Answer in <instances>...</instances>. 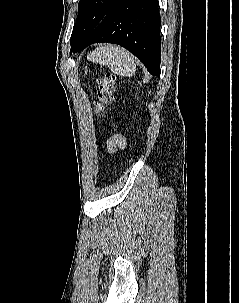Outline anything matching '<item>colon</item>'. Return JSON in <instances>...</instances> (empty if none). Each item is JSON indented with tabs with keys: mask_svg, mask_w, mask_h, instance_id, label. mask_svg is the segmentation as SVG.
<instances>
[{
	"mask_svg": "<svg viewBox=\"0 0 239 303\" xmlns=\"http://www.w3.org/2000/svg\"><path fill=\"white\" fill-rule=\"evenodd\" d=\"M116 77L112 73H105L97 78V93L94 110L101 113L113 102Z\"/></svg>",
	"mask_w": 239,
	"mask_h": 303,
	"instance_id": "5ec220e1",
	"label": "colon"
}]
</instances>
